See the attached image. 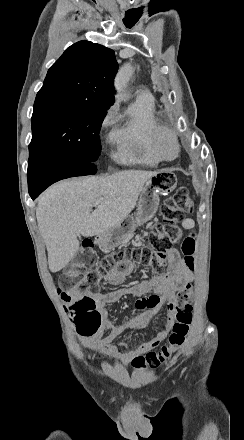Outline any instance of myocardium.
<instances>
[{"mask_svg": "<svg viewBox=\"0 0 244 440\" xmlns=\"http://www.w3.org/2000/svg\"><path fill=\"white\" fill-rule=\"evenodd\" d=\"M155 135L157 137L155 136L153 139L156 142L153 144L154 147L152 149L154 151L157 149L158 156L165 161H173L176 159L180 149L178 134L170 129L163 128L160 133L157 132ZM165 141L171 143L170 150L164 148L163 143Z\"/></svg>", "mask_w": 244, "mask_h": 440, "instance_id": "obj_1", "label": "myocardium"}]
</instances>
